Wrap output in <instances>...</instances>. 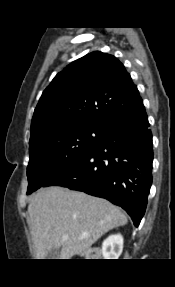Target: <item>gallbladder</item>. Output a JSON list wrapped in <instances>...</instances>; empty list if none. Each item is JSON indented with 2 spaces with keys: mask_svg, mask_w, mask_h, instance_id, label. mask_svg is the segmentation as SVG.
<instances>
[{
  "mask_svg": "<svg viewBox=\"0 0 175 287\" xmlns=\"http://www.w3.org/2000/svg\"><path fill=\"white\" fill-rule=\"evenodd\" d=\"M60 254V247L53 248L48 252L47 259H57Z\"/></svg>",
  "mask_w": 175,
  "mask_h": 287,
  "instance_id": "gallbladder-1",
  "label": "gallbladder"
}]
</instances>
